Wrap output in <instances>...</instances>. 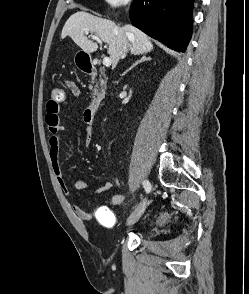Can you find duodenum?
Segmentation results:
<instances>
[{
    "instance_id": "duodenum-1",
    "label": "duodenum",
    "mask_w": 249,
    "mask_h": 294,
    "mask_svg": "<svg viewBox=\"0 0 249 294\" xmlns=\"http://www.w3.org/2000/svg\"><path fill=\"white\" fill-rule=\"evenodd\" d=\"M82 70L85 73H87L93 77L97 76V74H98V71L93 63L84 64L82 66ZM101 103H102V100L99 95H94L91 98L90 103H89L88 107L86 108V113L91 120H93L94 117L96 116L97 111L99 110V108L101 106Z\"/></svg>"
}]
</instances>
